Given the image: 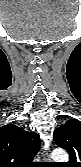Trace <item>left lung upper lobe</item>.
I'll use <instances>...</instances> for the list:
<instances>
[{"label": "left lung upper lobe", "instance_id": "obj_1", "mask_svg": "<svg viewBox=\"0 0 81 167\" xmlns=\"http://www.w3.org/2000/svg\"><path fill=\"white\" fill-rule=\"evenodd\" d=\"M55 143L69 153L70 161L67 167H79L81 161V122L68 120L54 131Z\"/></svg>", "mask_w": 81, "mask_h": 167}]
</instances>
